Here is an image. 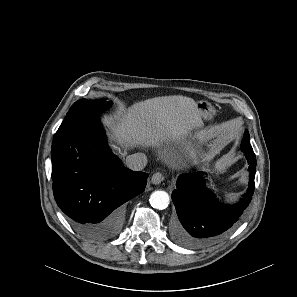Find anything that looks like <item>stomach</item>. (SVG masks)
<instances>
[{"instance_id":"0dacf381","label":"stomach","mask_w":297,"mask_h":297,"mask_svg":"<svg viewBox=\"0 0 297 297\" xmlns=\"http://www.w3.org/2000/svg\"><path fill=\"white\" fill-rule=\"evenodd\" d=\"M196 108L201 117L206 120L212 119L215 114V109L213 108V106L209 102L204 100L197 101Z\"/></svg>"}]
</instances>
